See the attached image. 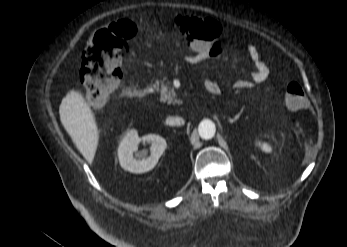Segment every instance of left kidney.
I'll use <instances>...</instances> for the list:
<instances>
[{"label": "left kidney", "mask_w": 347, "mask_h": 247, "mask_svg": "<svg viewBox=\"0 0 347 247\" xmlns=\"http://www.w3.org/2000/svg\"><path fill=\"white\" fill-rule=\"evenodd\" d=\"M259 146H261L262 150L265 152H270L271 147L267 143H258Z\"/></svg>", "instance_id": "1"}]
</instances>
